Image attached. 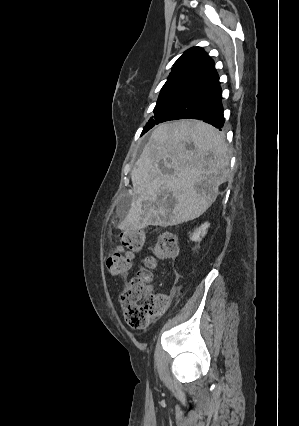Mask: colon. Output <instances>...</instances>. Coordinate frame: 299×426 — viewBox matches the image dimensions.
I'll return each mask as SVG.
<instances>
[{"instance_id":"5ec220e1","label":"colon","mask_w":299,"mask_h":426,"mask_svg":"<svg viewBox=\"0 0 299 426\" xmlns=\"http://www.w3.org/2000/svg\"><path fill=\"white\" fill-rule=\"evenodd\" d=\"M145 243L142 229L121 233L116 250L106 257V267L112 275H124L131 267L133 255L139 252ZM178 253L176 237L171 233L161 234L154 247L153 256L145 260V266L129 280L119 295L124 318L135 329L146 327L151 318L159 315L167 306L168 297L155 295L151 290L152 270L157 260L174 258Z\"/></svg>"}]
</instances>
